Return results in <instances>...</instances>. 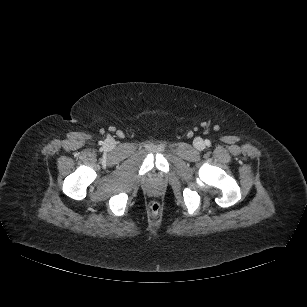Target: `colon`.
<instances>
[{
	"label": "colon",
	"instance_id": "obj_1",
	"mask_svg": "<svg viewBox=\"0 0 307 307\" xmlns=\"http://www.w3.org/2000/svg\"><path fill=\"white\" fill-rule=\"evenodd\" d=\"M149 208L153 213H157L160 210V204L156 201H153L150 203Z\"/></svg>",
	"mask_w": 307,
	"mask_h": 307
}]
</instances>
